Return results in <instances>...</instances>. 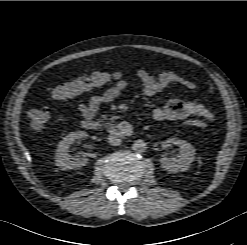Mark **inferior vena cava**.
<instances>
[{"label":"inferior vena cava","instance_id":"obj_1","mask_svg":"<svg viewBox=\"0 0 247 245\" xmlns=\"http://www.w3.org/2000/svg\"><path fill=\"white\" fill-rule=\"evenodd\" d=\"M108 142L113 146H118L121 144V139L113 134H110L108 137Z\"/></svg>","mask_w":247,"mask_h":245}]
</instances>
